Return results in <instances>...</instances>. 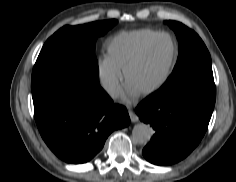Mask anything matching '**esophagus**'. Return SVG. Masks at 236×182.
<instances>
[{"label":"esophagus","instance_id":"34e87169","mask_svg":"<svg viewBox=\"0 0 236 182\" xmlns=\"http://www.w3.org/2000/svg\"><path fill=\"white\" fill-rule=\"evenodd\" d=\"M129 116H130L131 121L133 122L138 120V116L132 110H129Z\"/></svg>","mask_w":236,"mask_h":182}]
</instances>
